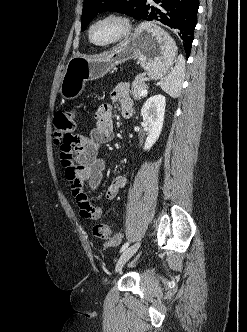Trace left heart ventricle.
I'll return each mask as SVG.
<instances>
[{"mask_svg": "<svg viewBox=\"0 0 247 332\" xmlns=\"http://www.w3.org/2000/svg\"><path fill=\"white\" fill-rule=\"evenodd\" d=\"M121 31V25L115 20H105L96 24L92 30V39L97 43L113 40Z\"/></svg>", "mask_w": 247, "mask_h": 332, "instance_id": "b2bd125f", "label": "left heart ventricle"}]
</instances>
